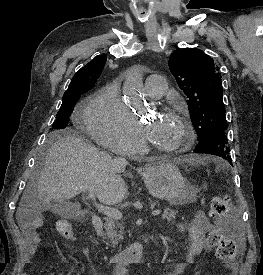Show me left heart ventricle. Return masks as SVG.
I'll list each match as a JSON object with an SVG mask.
<instances>
[{
  "label": "left heart ventricle",
  "mask_w": 263,
  "mask_h": 275,
  "mask_svg": "<svg viewBox=\"0 0 263 275\" xmlns=\"http://www.w3.org/2000/svg\"><path fill=\"white\" fill-rule=\"evenodd\" d=\"M147 131L153 144L166 147L175 145L181 136L179 123L168 115L148 118Z\"/></svg>",
  "instance_id": "b2bd125f"
}]
</instances>
